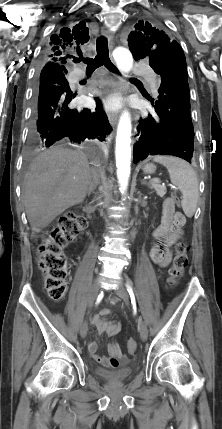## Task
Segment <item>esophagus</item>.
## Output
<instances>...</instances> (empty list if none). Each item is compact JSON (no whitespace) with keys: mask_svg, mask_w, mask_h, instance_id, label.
<instances>
[{"mask_svg":"<svg viewBox=\"0 0 222 429\" xmlns=\"http://www.w3.org/2000/svg\"><path fill=\"white\" fill-rule=\"evenodd\" d=\"M101 34L108 39L109 46L112 49L113 48V44H114L113 43V40H114L113 34L110 31H108L106 28H104V27L101 29ZM113 88L116 91H121L122 81H121V79L119 77H117L116 81L114 82ZM108 119H109L110 125L114 128L116 126V124H117V121H118V114H117V112H109L108 113Z\"/></svg>","mask_w":222,"mask_h":429,"instance_id":"1","label":"esophagus"}]
</instances>
